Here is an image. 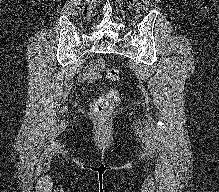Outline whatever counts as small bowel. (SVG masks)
<instances>
[{
	"label": "small bowel",
	"instance_id": "obj_1",
	"mask_svg": "<svg viewBox=\"0 0 219 192\" xmlns=\"http://www.w3.org/2000/svg\"><path fill=\"white\" fill-rule=\"evenodd\" d=\"M103 68L102 60L98 59L91 62L82 72L81 77L82 79L94 82L100 78V70Z\"/></svg>",
	"mask_w": 219,
	"mask_h": 192
}]
</instances>
